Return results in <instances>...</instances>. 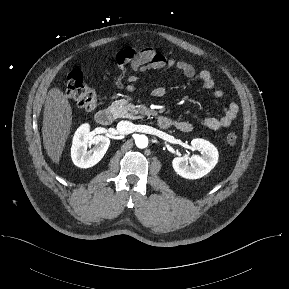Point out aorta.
Returning <instances> with one entry per match:
<instances>
[{"mask_svg":"<svg viewBox=\"0 0 289 289\" xmlns=\"http://www.w3.org/2000/svg\"><path fill=\"white\" fill-rule=\"evenodd\" d=\"M135 143L138 148H146L148 146V138L145 135H138L135 138Z\"/></svg>","mask_w":289,"mask_h":289,"instance_id":"762f6f07","label":"aorta"}]
</instances>
